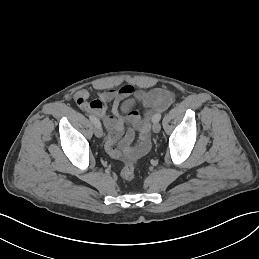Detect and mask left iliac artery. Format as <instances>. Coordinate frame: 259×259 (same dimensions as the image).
Segmentation results:
<instances>
[{"instance_id":"1","label":"left iliac artery","mask_w":259,"mask_h":259,"mask_svg":"<svg viewBox=\"0 0 259 259\" xmlns=\"http://www.w3.org/2000/svg\"><path fill=\"white\" fill-rule=\"evenodd\" d=\"M160 119H161V114L158 113V114L154 115V117H153V122H159Z\"/></svg>"}]
</instances>
